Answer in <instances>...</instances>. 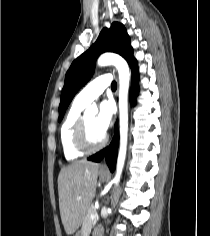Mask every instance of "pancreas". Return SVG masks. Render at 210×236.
Instances as JSON below:
<instances>
[{"instance_id":"pancreas-1","label":"pancreas","mask_w":210,"mask_h":236,"mask_svg":"<svg viewBox=\"0 0 210 236\" xmlns=\"http://www.w3.org/2000/svg\"><path fill=\"white\" fill-rule=\"evenodd\" d=\"M96 213V208L92 205L88 208L86 215L83 218V223H82V236H87V234L91 231L92 227L95 224V221L90 218L92 214Z\"/></svg>"}]
</instances>
